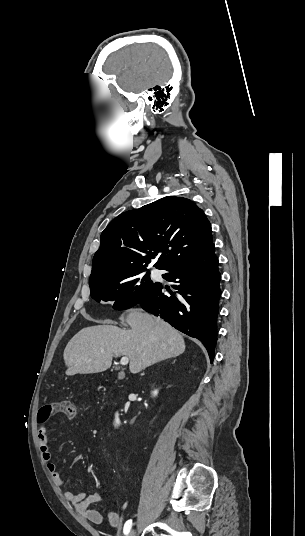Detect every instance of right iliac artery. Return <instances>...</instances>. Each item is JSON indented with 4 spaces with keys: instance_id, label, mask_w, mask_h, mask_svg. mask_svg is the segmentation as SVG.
<instances>
[{
    "instance_id": "obj_1",
    "label": "right iliac artery",
    "mask_w": 305,
    "mask_h": 536,
    "mask_svg": "<svg viewBox=\"0 0 305 536\" xmlns=\"http://www.w3.org/2000/svg\"><path fill=\"white\" fill-rule=\"evenodd\" d=\"M131 527H132V520L126 521V523L124 525V529H123V532H124L125 535H127L129 533Z\"/></svg>"
}]
</instances>
